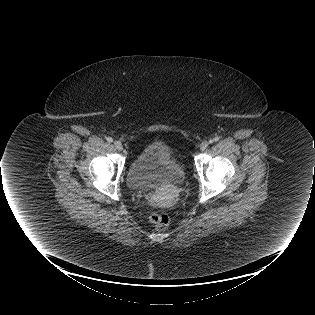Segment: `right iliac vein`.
Wrapping results in <instances>:
<instances>
[{"mask_svg":"<svg viewBox=\"0 0 315 315\" xmlns=\"http://www.w3.org/2000/svg\"><path fill=\"white\" fill-rule=\"evenodd\" d=\"M114 146L116 147L117 150L121 151L123 149V146L121 144V142L119 141H115L114 142Z\"/></svg>","mask_w":315,"mask_h":315,"instance_id":"obj_1","label":"right iliac vein"}]
</instances>
